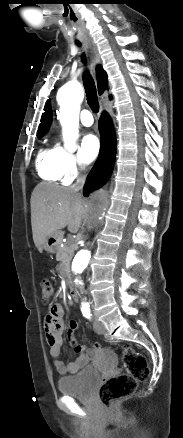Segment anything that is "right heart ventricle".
Returning <instances> with one entry per match:
<instances>
[{
    "mask_svg": "<svg viewBox=\"0 0 183 438\" xmlns=\"http://www.w3.org/2000/svg\"><path fill=\"white\" fill-rule=\"evenodd\" d=\"M58 149H42L37 159V170L40 176L48 181L57 182L62 178L58 167Z\"/></svg>",
    "mask_w": 183,
    "mask_h": 438,
    "instance_id": "e07e8e85",
    "label": "right heart ventricle"
}]
</instances>
